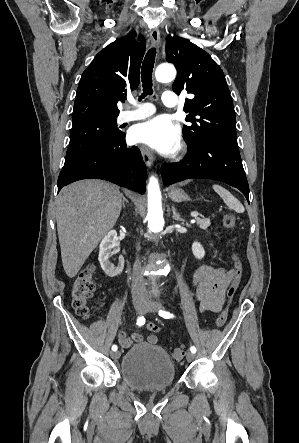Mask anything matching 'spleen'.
<instances>
[{
	"label": "spleen",
	"mask_w": 299,
	"mask_h": 443,
	"mask_svg": "<svg viewBox=\"0 0 299 443\" xmlns=\"http://www.w3.org/2000/svg\"><path fill=\"white\" fill-rule=\"evenodd\" d=\"M214 191L223 199L224 203L237 213H243L245 211L241 202L235 198L228 190L220 185H213Z\"/></svg>",
	"instance_id": "obj_1"
}]
</instances>
